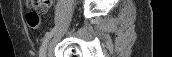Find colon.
Wrapping results in <instances>:
<instances>
[{
  "label": "colon",
  "instance_id": "colon-1",
  "mask_svg": "<svg viewBox=\"0 0 172 57\" xmlns=\"http://www.w3.org/2000/svg\"><path fill=\"white\" fill-rule=\"evenodd\" d=\"M45 0H32L29 1L30 6H36L43 3ZM26 22L28 26L33 30H38L41 25L40 16L36 10L30 9L26 14Z\"/></svg>",
  "mask_w": 172,
  "mask_h": 57
}]
</instances>
